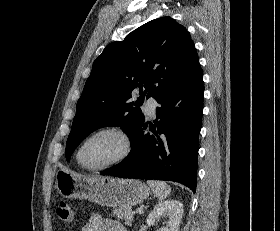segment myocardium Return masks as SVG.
<instances>
[{"label": "myocardium", "mask_w": 280, "mask_h": 231, "mask_svg": "<svg viewBox=\"0 0 280 231\" xmlns=\"http://www.w3.org/2000/svg\"><path fill=\"white\" fill-rule=\"evenodd\" d=\"M109 132L115 133L122 138L123 143H124V149H123V152L121 153V155L119 157H117L116 159H114L113 161H111L108 164L101 166V167L86 166L81 160V154H82V151H83L85 145L87 144V142L91 138H93L99 134L109 133ZM131 151H132V141H131V137L128 134V132L119 126H106V127L100 128L97 131L91 133L83 140V142L81 143V145L79 146V148L77 150L76 161H77L78 165L85 171H90V172L103 171L105 169H108L110 167H113L115 165L122 163L124 160H126L128 158Z\"/></svg>", "instance_id": "myocardium-1"}]
</instances>
